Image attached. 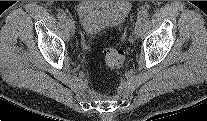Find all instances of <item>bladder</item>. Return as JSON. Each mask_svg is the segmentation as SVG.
Instances as JSON below:
<instances>
[{"instance_id": "bladder-1", "label": "bladder", "mask_w": 207, "mask_h": 121, "mask_svg": "<svg viewBox=\"0 0 207 121\" xmlns=\"http://www.w3.org/2000/svg\"><path fill=\"white\" fill-rule=\"evenodd\" d=\"M130 11L128 1H81L77 5L81 26L90 36L122 26Z\"/></svg>"}]
</instances>
